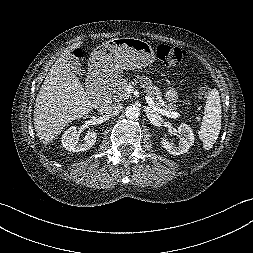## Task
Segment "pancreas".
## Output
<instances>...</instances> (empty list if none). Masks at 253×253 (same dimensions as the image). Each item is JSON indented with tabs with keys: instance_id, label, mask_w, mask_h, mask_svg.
I'll return each instance as SVG.
<instances>
[{
	"instance_id": "pancreas-1",
	"label": "pancreas",
	"mask_w": 253,
	"mask_h": 253,
	"mask_svg": "<svg viewBox=\"0 0 253 253\" xmlns=\"http://www.w3.org/2000/svg\"><path fill=\"white\" fill-rule=\"evenodd\" d=\"M141 87L144 88L148 96H150L158 107H163L165 110H174L175 106L171 104H163L159 97L162 95L160 89L152 83V81L147 77L140 78ZM133 84L129 79H123L119 83L118 87L114 90L113 100L114 101H123L131 97L127 92V87Z\"/></svg>"
}]
</instances>
